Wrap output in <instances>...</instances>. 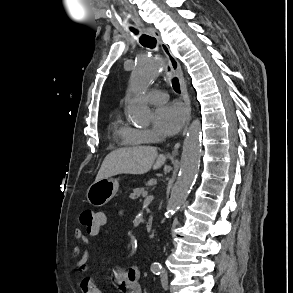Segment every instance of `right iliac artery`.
<instances>
[{"mask_svg":"<svg viewBox=\"0 0 293 293\" xmlns=\"http://www.w3.org/2000/svg\"><path fill=\"white\" fill-rule=\"evenodd\" d=\"M151 271L156 274V275H159L161 273V267H153L151 269Z\"/></svg>","mask_w":293,"mask_h":293,"instance_id":"1","label":"right iliac artery"}]
</instances>
